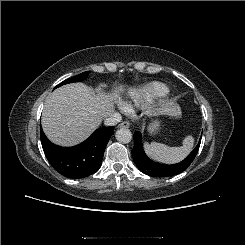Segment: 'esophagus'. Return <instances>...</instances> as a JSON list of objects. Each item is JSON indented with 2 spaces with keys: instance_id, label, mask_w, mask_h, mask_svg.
<instances>
[{
  "instance_id": "esophagus-1",
  "label": "esophagus",
  "mask_w": 245,
  "mask_h": 245,
  "mask_svg": "<svg viewBox=\"0 0 245 245\" xmlns=\"http://www.w3.org/2000/svg\"><path fill=\"white\" fill-rule=\"evenodd\" d=\"M129 126H130V123L128 121H123L118 125V127L120 128H129Z\"/></svg>"
}]
</instances>
